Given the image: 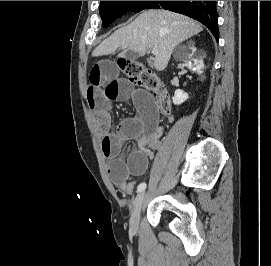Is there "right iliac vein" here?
<instances>
[{
  "label": "right iliac vein",
  "instance_id": "63e3f726",
  "mask_svg": "<svg viewBox=\"0 0 271 266\" xmlns=\"http://www.w3.org/2000/svg\"><path fill=\"white\" fill-rule=\"evenodd\" d=\"M144 198L145 193L141 192L136 196L134 200L133 210L130 217V231L133 234H135L138 231L139 215L143 207Z\"/></svg>",
  "mask_w": 271,
  "mask_h": 266
}]
</instances>
